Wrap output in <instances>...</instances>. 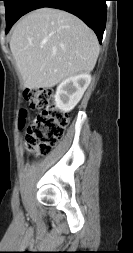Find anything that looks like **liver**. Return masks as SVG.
I'll return each mask as SVG.
<instances>
[{
    "label": "liver",
    "mask_w": 133,
    "mask_h": 253,
    "mask_svg": "<svg viewBox=\"0 0 133 253\" xmlns=\"http://www.w3.org/2000/svg\"><path fill=\"white\" fill-rule=\"evenodd\" d=\"M10 49L24 86L39 89L92 71L100 46L95 33L76 16L41 8L16 23Z\"/></svg>",
    "instance_id": "1"
}]
</instances>
